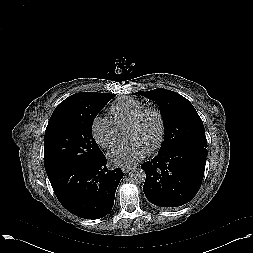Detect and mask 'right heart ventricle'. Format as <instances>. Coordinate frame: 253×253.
Here are the masks:
<instances>
[{"label":"right heart ventricle","mask_w":253,"mask_h":253,"mask_svg":"<svg viewBox=\"0 0 253 253\" xmlns=\"http://www.w3.org/2000/svg\"><path fill=\"white\" fill-rule=\"evenodd\" d=\"M144 107L145 103L141 100L121 97L111 105L110 114L116 127H121L127 125Z\"/></svg>","instance_id":"right-heart-ventricle-1"}]
</instances>
